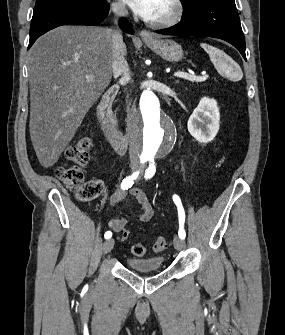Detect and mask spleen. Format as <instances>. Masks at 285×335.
<instances>
[{
    "instance_id": "1",
    "label": "spleen",
    "mask_w": 285,
    "mask_h": 335,
    "mask_svg": "<svg viewBox=\"0 0 285 335\" xmlns=\"http://www.w3.org/2000/svg\"><path fill=\"white\" fill-rule=\"evenodd\" d=\"M201 48L209 54V58L214 64L217 70H222V68H227L226 62H224L225 54H223L222 50H217V48H213V46H208V44H200Z\"/></svg>"
}]
</instances>
